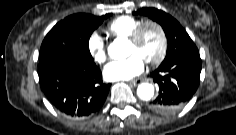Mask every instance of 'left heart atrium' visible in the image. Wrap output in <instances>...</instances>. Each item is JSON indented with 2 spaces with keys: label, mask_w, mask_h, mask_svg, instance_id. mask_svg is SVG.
<instances>
[{
  "label": "left heart atrium",
  "mask_w": 236,
  "mask_h": 135,
  "mask_svg": "<svg viewBox=\"0 0 236 135\" xmlns=\"http://www.w3.org/2000/svg\"><path fill=\"white\" fill-rule=\"evenodd\" d=\"M143 70V59L137 54H132L128 58L108 63L104 68L103 74L110 81L128 80L141 74Z\"/></svg>",
  "instance_id": "left-heart-atrium-1"
}]
</instances>
